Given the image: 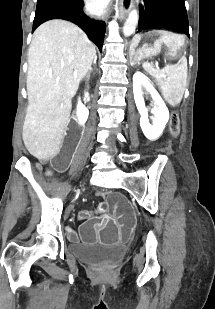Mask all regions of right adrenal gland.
<instances>
[{"label": "right adrenal gland", "mask_w": 215, "mask_h": 309, "mask_svg": "<svg viewBox=\"0 0 215 309\" xmlns=\"http://www.w3.org/2000/svg\"><path fill=\"white\" fill-rule=\"evenodd\" d=\"M96 60H97V54H95V56H94V60H93L94 64H96ZM91 70H92V66H90V68H89V70L87 72V76H90Z\"/></svg>", "instance_id": "2a0ac1e0"}]
</instances>
